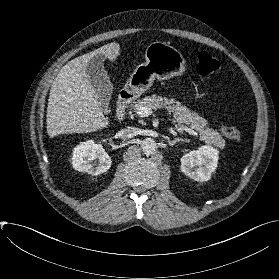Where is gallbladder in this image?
Wrapping results in <instances>:
<instances>
[{
  "label": "gallbladder",
  "mask_w": 279,
  "mask_h": 279,
  "mask_svg": "<svg viewBox=\"0 0 279 279\" xmlns=\"http://www.w3.org/2000/svg\"><path fill=\"white\" fill-rule=\"evenodd\" d=\"M102 55L94 56L86 68L89 80L95 89L103 110L107 109L113 93V86L103 64Z\"/></svg>",
  "instance_id": "obj_1"
}]
</instances>
